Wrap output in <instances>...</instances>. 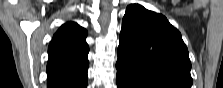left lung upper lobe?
I'll list each match as a JSON object with an SVG mask.
<instances>
[{
	"label": "left lung upper lobe",
	"mask_w": 223,
	"mask_h": 88,
	"mask_svg": "<svg viewBox=\"0 0 223 88\" xmlns=\"http://www.w3.org/2000/svg\"><path fill=\"white\" fill-rule=\"evenodd\" d=\"M117 63L152 88H191V62L180 32L139 4L126 8Z\"/></svg>",
	"instance_id": "obj_1"
}]
</instances>
